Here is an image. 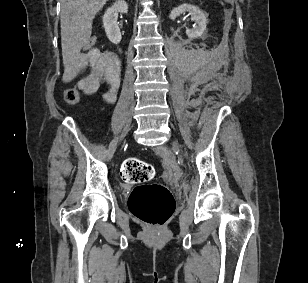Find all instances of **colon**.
Instances as JSON below:
<instances>
[{
	"instance_id": "obj_1",
	"label": "colon",
	"mask_w": 308,
	"mask_h": 283,
	"mask_svg": "<svg viewBox=\"0 0 308 283\" xmlns=\"http://www.w3.org/2000/svg\"><path fill=\"white\" fill-rule=\"evenodd\" d=\"M96 44V37H90L84 45L85 51H91ZM64 99L69 104L80 101V89L68 88ZM122 179L136 186L131 191L128 207L131 213L142 222L151 226H163L172 216L175 200L170 190L162 184H149L154 177V168L137 158H129L121 167Z\"/></svg>"
}]
</instances>
